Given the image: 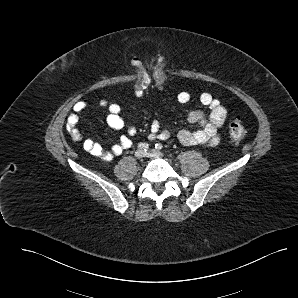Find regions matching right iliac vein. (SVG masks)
I'll list each match as a JSON object with an SVG mask.
<instances>
[{"label":"right iliac vein","instance_id":"1","mask_svg":"<svg viewBox=\"0 0 298 298\" xmlns=\"http://www.w3.org/2000/svg\"><path fill=\"white\" fill-rule=\"evenodd\" d=\"M135 157L138 158V159H141L143 157H145V153L143 150L141 149H138L136 152H135Z\"/></svg>","mask_w":298,"mask_h":298}]
</instances>
